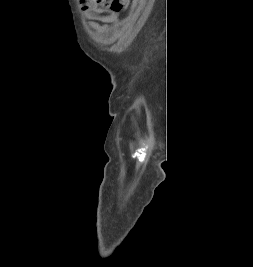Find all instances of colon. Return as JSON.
Returning a JSON list of instances; mask_svg holds the SVG:
<instances>
[{
    "mask_svg": "<svg viewBox=\"0 0 253 267\" xmlns=\"http://www.w3.org/2000/svg\"><path fill=\"white\" fill-rule=\"evenodd\" d=\"M129 0H79V5L83 10H91L97 6L110 8L114 11L124 9Z\"/></svg>",
    "mask_w": 253,
    "mask_h": 267,
    "instance_id": "1",
    "label": "colon"
}]
</instances>
